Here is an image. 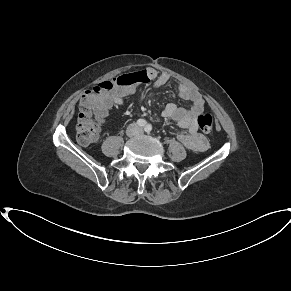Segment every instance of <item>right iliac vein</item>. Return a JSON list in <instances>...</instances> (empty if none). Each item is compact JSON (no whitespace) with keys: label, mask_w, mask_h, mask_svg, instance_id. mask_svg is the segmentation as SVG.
<instances>
[{"label":"right iliac vein","mask_w":291,"mask_h":291,"mask_svg":"<svg viewBox=\"0 0 291 291\" xmlns=\"http://www.w3.org/2000/svg\"><path fill=\"white\" fill-rule=\"evenodd\" d=\"M135 134V128L134 127H130L128 130H127V135L128 136H133Z\"/></svg>","instance_id":"63e3f726"}]
</instances>
